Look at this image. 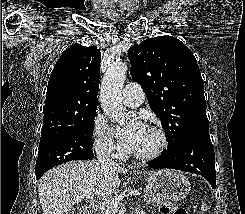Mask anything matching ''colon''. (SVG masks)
<instances>
[{"mask_svg":"<svg viewBox=\"0 0 245 214\" xmlns=\"http://www.w3.org/2000/svg\"><path fill=\"white\" fill-rule=\"evenodd\" d=\"M162 214H187L185 208L179 205L163 206Z\"/></svg>","mask_w":245,"mask_h":214,"instance_id":"1","label":"colon"}]
</instances>
